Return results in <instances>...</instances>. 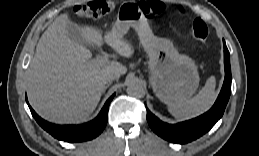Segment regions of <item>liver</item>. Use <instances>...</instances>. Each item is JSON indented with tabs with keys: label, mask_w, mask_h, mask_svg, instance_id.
I'll return each instance as SVG.
<instances>
[{
	"label": "liver",
	"mask_w": 259,
	"mask_h": 156,
	"mask_svg": "<svg viewBox=\"0 0 259 156\" xmlns=\"http://www.w3.org/2000/svg\"><path fill=\"white\" fill-rule=\"evenodd\" d=\"M70 24L74 23L68 14H61L46 29L26 78L32 108L42 118L58 124L78 123L89 117L100 101L106 75L109 72L122 75L127 71L119 62H108L102 67L92 65V52L69 38ZM79 28L90 44H102L100 30L87 25ZM104 41L123 57L134 54L133 46L123 40V35L107 32Z\"/></svg>",
	"instance_id": "obj_1"
}]
</instances>
